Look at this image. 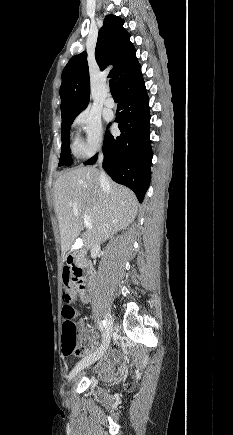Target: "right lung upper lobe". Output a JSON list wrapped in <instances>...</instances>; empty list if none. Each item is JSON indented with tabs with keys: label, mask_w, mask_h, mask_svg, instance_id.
<instances>
[{
	"label": "right lung upper lobe",
	"mask_w": 233,
	"mask_h": 435,
	"mask_svg": "<svg viewBox=\"0 0 233 435\" xmlns=\"http://www.w3.org/2000/svg\"><path fill=\"white\" fill-rule=\"evenodd\" d=\"M123 23L118 16H106L95 49V58L101 70L113 64L109 77L116 79L118 87L141 72L136 50ZM86 55V52H82L72 57L63 69L60 87L62 117L78 115L88 105L90 90Z\"/></svg>",
	"instance_id": "1"
}]
</instances>
